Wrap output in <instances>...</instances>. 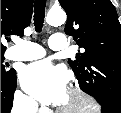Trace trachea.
Returning <instances> with one entry per match:
<instances>
[{"label": "trachea", "mask_w": 121, "mask_h": 113, "mask_svg": "<svg viewBox=\"0 0 121 113\" xmlns=\"http://www.w3.org/2000/svg\"><path fill=\"white\" fill-rule=\"evenodd\" d=\"M46 0H35L34 4V26L37 32L43 27L45 18Z\"/></svg>", "instance_id": "3493384b"}]
</instances>
